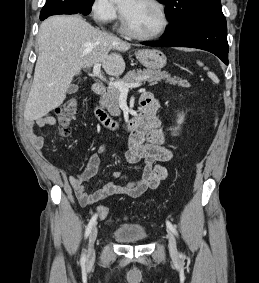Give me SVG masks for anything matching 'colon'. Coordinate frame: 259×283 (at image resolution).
I'll use <instances>...</instances> for the list:
<instances>
[{
    "label": "colon",
    "instance_id": "5ec220e1",
    "mask_svg": "<svg viewBox=\"0 0 259 283\" xmlns=\"http://www.w3.org/2000/svg\"><path fill=\"white\" fill-rule=\"evenodd\" d=\"M79 102L76 97L68 98L56 113L57 122L59 124V132L63 137H67L70 132V127L73 119L78 112ZM99 217L105 219L108 216L109 209L106 206L99 208Z\"/></svg>",
    "mask_w": 259,
    "mask_h": 283
}]
</instances>
